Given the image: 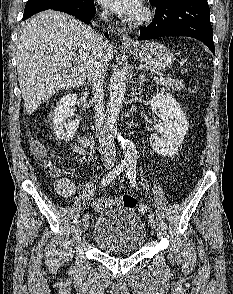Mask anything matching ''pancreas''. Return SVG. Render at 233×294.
<instances>
[{
	"instance_id": "cf45deb5",
	"label": "pancreas",
	"mask_w": 233,
	"mask_h": 294,
	"mask_svg": "<svg viewBox=\"0 0 233 294\" xmlns=\"http://www.w3.org/2000/svg\"><path fill=\"white\" fill-rule=\"evenodd\" d=\"M161 85L165 86L166 88H171L173 91H182L184 86L183 83L176 80L167 78L166 80L160 83Z\"/></svg>"
}]
</instances>
